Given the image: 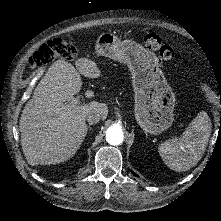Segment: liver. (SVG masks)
<instances>
[{
	"label": "liver",
	"mask_w": 221,
	"mask_h": 221,
	"mask_svg": "<svg viewBox=\"0 0 221 221\" xmlns=\"http://www.w3.org/2000/svg\"><path fill=\"white\" fill-rule=\"evenodd\" d=\"M75 65L57 60L22 110L19 121L21 146L32 166L67 161L75 155L87 135L86 116L98 112L102 120L107 118V104L97 101L80 104L74 97L81 90V75L95 79L101 76V70L87 58L79 59Z\"/></svg>",
	"instance_id": "6515ba94"
}]
</instances>
